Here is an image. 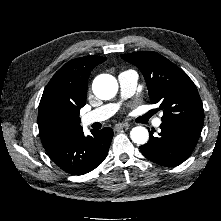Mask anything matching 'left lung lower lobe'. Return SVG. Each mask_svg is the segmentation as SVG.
Wrapping results in <instances>:
<instances>
[{"mask_svg": "<svg viewBox=\"0 0 221 221\" xmlns=\"http://www.w3.org/2000/svg\"><path fill=\"white\" fill-rule=\"evenodd\" d=\"M201 124L188 122H162L158 137L149 130L148 143L140 146L142 154L149 160L174 166L184 162L194 150L202 130Z\"/></svg>", "mask_w": 221, "mask_h": 221, "instance_id": "obj_1", "label": "left lung lower lobe"}]
</instances>
